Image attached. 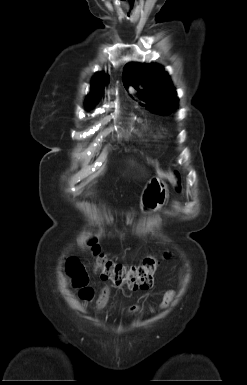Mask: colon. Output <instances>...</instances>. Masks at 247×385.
I'll return each mask as SVG.
<instances>
[{
  "instance_id": "5ec220e1",
  "label": "colon",
  "mask_w": 247,
  "mask_h": 385,
  "mask_svg": "<svg viewBox=\"0 0 247 385\" xmlns=\"http://www.w3.org/2000/svg\"><path fill=\"white\" fill-rule=\"evenodd\" d=\"M87 246L94 259L95 270L102 279L116 286H127L131 290L147 289L152 286L153 275L158 266L155 255L145 256L139 265L127 266L109 259L95 240H90ZM67 271L73 286L79 289L81 298L90 300L93 291L88 287V277L81 263L76 259H70Z\"/></svg>"
}]
</instances>
